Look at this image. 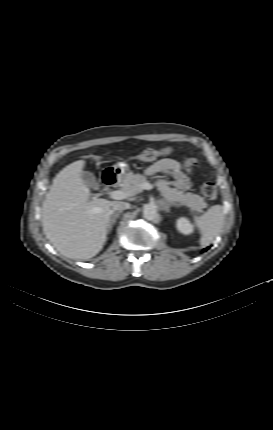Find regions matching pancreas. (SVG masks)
Wrapping results in <instances>:
<instances>
[{
  "instance_id": "1",
  "label": "pancreas",
  "mask_w": 273,
  "mask_h": 430,
  "mask_svg": "<svg viewBox=\"0 0 273 430\" xmlns=\"http://www.w3.org/2000/svg\"><path fill=\"white\" fill-rule=\"evenodd\" d=\"M144 182H146L145 176L130 172L123 179L122 191L133 190L134 194H136L139 192V186ZM168 184L169 182L165 180H158L156 182L159 191L168 202L186 206L190 210L197 212H201L202 209L208 206L203 197L191 192L184 193L175 188H170Z\"/></svg>"
}]
</instances>
